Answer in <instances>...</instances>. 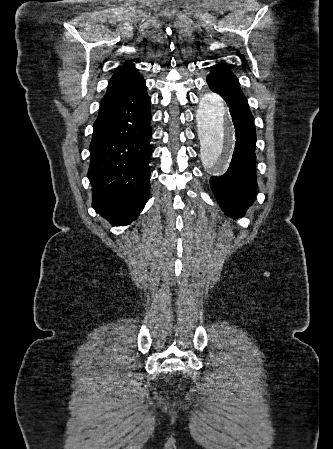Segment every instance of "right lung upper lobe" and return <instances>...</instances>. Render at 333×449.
I'll return each instance as SVG.
<instances>
[{"label": "right lung upper lobe", "instance_id": "obj_1", "mask_svg": "<svg viewBox=\"0 0 333 449\" xmlns=\"http://www.w3.org/2000/svg\"><path fill=\"white\" fill-rule=\"evenodd\" d=\"M146 89L145 80L131 61L124 63L109 81L108 90L100 103L99 113L108 111Z\"/></svg>", "mask_w": 333, "mask_h": 449}]
</instances>
